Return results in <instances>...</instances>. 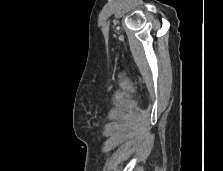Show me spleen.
I'll return each instance as SVG.
<instances>
[{
	"label": "spleen",
	"instance_id": "spleen-1",
	"mask_svg": "<svg viewBox=\"0 0 223 171\" xmlns=\"http://www.w3.org/2000/svg\"><path fill=\"white\" fill-rule=\"evenodd\" d=\"M137 171H144L143 168H139Z\"/></svg>",
	"mask_w": 223,
	"mask_h": 171
}]
</instances>
